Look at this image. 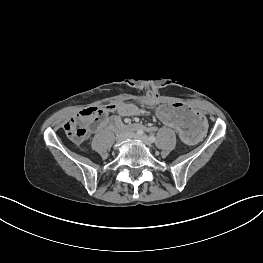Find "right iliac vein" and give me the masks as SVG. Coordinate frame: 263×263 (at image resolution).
Masks as SVG:
<instances>
[{
  "instance_id": "1",
  "label": "right iliac vein",
  "mask_w": 263,
  "mask_h": 263,
  "mask_svg": "<svg viewBox=\"0 0 263 263\" xmlns=\"http://www.w3.org/2000/svg\"><path fill=\"white\" fill-rule=\"evenodd\" d=\"M130 134H126V135H122L119 139H118V143L123 141L124 139H126L127 137H129Z\"/></svg>"
}]
</instances>
